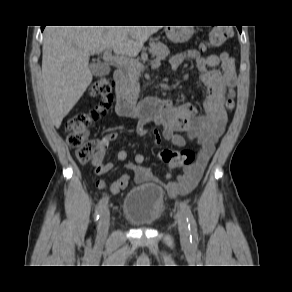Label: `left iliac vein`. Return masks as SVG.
<instances>
[{"label":"left iliac vein","mask_w":292,"mask_h":292,"mask_svg":"<svg viewBox=\"0 0 292 292\" xmlns=\"http://www.w3.org/2000/svg\"><path fill=\"white\" fill-rule=\"evenodd\" d=\"M177 223H178V229H179L181 239H183L184 241H187L189 239L190 232H189L188 223L184 214L182 213L178 214Z\"/></svg>","instance_id":"1"}]
</instances>
